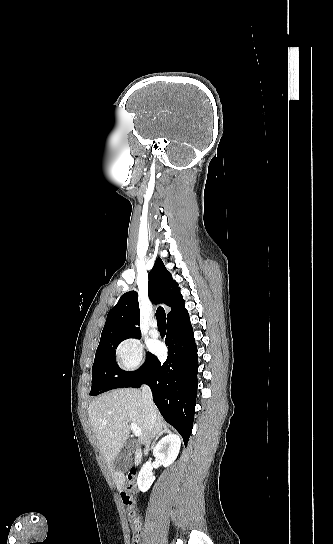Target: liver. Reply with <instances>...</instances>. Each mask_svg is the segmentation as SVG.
I'll list each match as a JSON object with an SVG mask.
<instances>
[{
    "instance_id": "6515ba94",
    "label": "liver",
    "mask_w": 333,
    "mask_h": 544,
    "mask_svg": "<svg viewBox=\"0 0 333 544\" xmlns=\"http://www.w3.org/2000/svg\"><path fill=\"white\" fill-rule=\"evenodd\" d=\"M88 414L100 452L117 489L122 491L126 476L124 471L113 467V461L129 437V424L135 423L141 429L139 443L145 444L163 431L165 424L162 417L157 412L156 423L150 428L142 393L133 388L116 389L101 395L90 403Z\"/></svg>"
}]
</instances>
